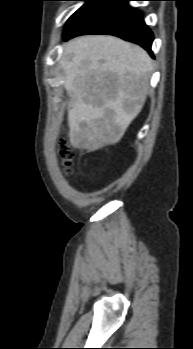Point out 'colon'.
<instances>
[{
    "label": "colon",
    "mask_w": 193,
    "mask_h": 349,
    "mask_svg": "<svg viewBox=\"0 0 193 349\" xmlns=\"http://www.w3.org/2000/svg\"><path fill=\"white\" fill-rule=\"evenodd\" d=\"M58 151H59V156H60L62 165L66 173L70 174L72 171L73 159H74L73 152L67 147L64 141L59 142Z\"/></svg>",
    "instance_id": "1"
}]
</instances>
